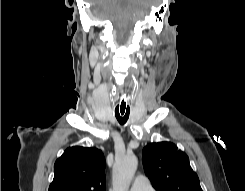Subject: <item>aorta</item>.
<instances>
[{"instance_id": "762f6f07", "label": "aorta", "mask_w": 245, "mask_h": 191, "mask_svg": "<svg viewBox=\"0 0 245 191\" xmlns=\"http://www.w3.org/2000/svg\"><path fill=\"white\" fill-rule=\"evenodd\" d=\"M137 165V158L133 154L116 158L113 166V191H129Z\"/></svg>"}]
</instances>
